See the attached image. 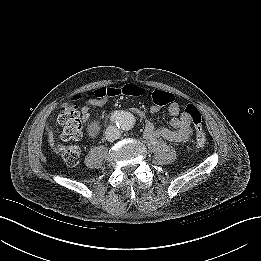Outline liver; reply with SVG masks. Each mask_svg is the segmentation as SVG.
Segmentation results:
<instances>
[{
	"mask_svg": "<svg viewBox=\"0 0 261 261\" xmlns=\"http://www.w3.org/2000/svg\"><path fill=\"white\" fill-rule=\"evenodd\" d=\"M47 131H48V143H49L50 147L53 148L54 142H55L53 132L50 129H47Z\"/></svg>",
	"mask_w": 261,
	"mask_h": 261,
	"instance_id": "obj_1",
	"label": "liver"
}]
</instances>
